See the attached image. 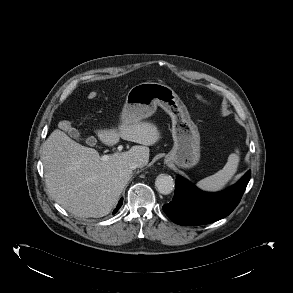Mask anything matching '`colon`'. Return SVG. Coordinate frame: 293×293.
<instances>
[{
  "label": "colon",
  "instance_id": "5ec220e1",
  "mask_svg": "<svg viewBox=\"0 0 293 293\" xmlns=\"http://www.w3.org/2000/svg\"><path fill=\"white\" fill-rule=\"evenodd\" d=\"M87 97L88 99L93 100L97 97V92L91 91L88 93ZM197 99L201 102H206V100L200 95H197ZM59 126L62 130H69L71 128V123L70 121L64 120L60 123Z\"/></svg>",
  "mask_w": 293,
  "mask_h": 293
}]
</instances>
